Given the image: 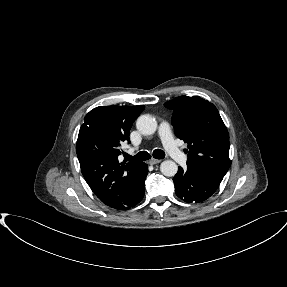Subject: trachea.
I'll return each instance as SVG.
<instances>
[{"label": "trachea", "mask_w": 287, "mask_h": 287, "mask_svg": "<svg viewBox=\"0 0 287 287\" xmlns=\"http://www.w3.org/2000/svg\"><path fill=\"white\" fill-rule=\"evenodd\" d=\"M153 157L156 159H163L165 157L164 151L160 149H156L153 151ZM151 156L148 152L146 151H141L137 153L135 156H130L128 154L125 155L126 161H136V162H141V161H146L150 159Z\"/></svg>", "instance_id": "trachea-1"}]
</instances>
